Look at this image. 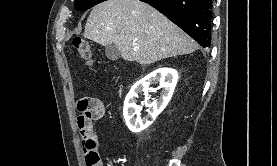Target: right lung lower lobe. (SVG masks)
<instances>
[{
	"label": "right lung lower lobe",
	"mask_w": 277,
	"mask_h": 166,
	"mask_svg": "<svg viewBox=\"0 0 277 166\" xmlns=\"http://www.w3.org/2000/svg\"><path fill=\"white\" fill-rule=\"evenodd\" d=\"M163 13L203 48L211 44L212 0H140Z\"/></svg>",
	"instance_id": "98d812e1"
}]
</instances>
